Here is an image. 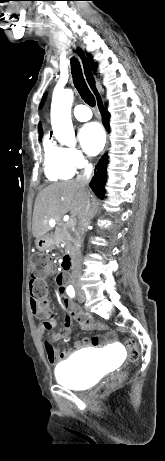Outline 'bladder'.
I'll list each match as a JSON object with an SVG mask.
<instances>
[{
  "mask_svg": "<svg viewBox=\"0 0 165 461\" xmlns=\"http://www.w3.org/2000/svg\"><path fill=\"white\" fill-rule=\"evenodd\" d=\"M106 360L92 359L89 352H79L61 361L54 374L58 383L72 389L82 390L92 386L105 371Z\"/></svg>",
  "mask_w": 165,
  "mask_h": 461,
  "instance_id": "bladder-1",
  "label": "bladder"
}]
</instances>
